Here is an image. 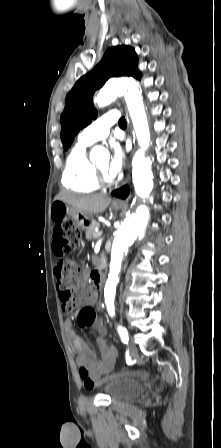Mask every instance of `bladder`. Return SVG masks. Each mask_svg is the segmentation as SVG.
Wrapping results in <instances>:
<instances>
[{
    "label": "bladder",
    "instance_id": "obj_1",
    "mask_svg": "<svg viewBox=\"0 0 221 448\" xmlns=\"http://www.w3.org/2000/svg\"><path fill=\"white\" fill-rule=\"evenodd\" d=\"M104 391L113 401L129 400L141 394L143 384L132 377H112L105 382Z\"/></svg>",
    "mask_w": 221,
    "mask_h": 448
}]
</instances>
